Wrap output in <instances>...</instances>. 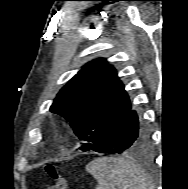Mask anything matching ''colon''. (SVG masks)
<instances>
[{
  "instance_id": "1",
  "label": "colon",
  "mask_w": 188,
  "mask_h": 189,
  "mask_svg": "<svg viewBox=\"0 0 188 189\" xmlns=\"http://www.w3.org/2000/svg\"><path fill=\"white\" fill-rule=\"evenodd\" d=\"M45 171L49 178L54 181V184L48 189H67V178L56 165L51 163L46 164Z\"/></svg>"
}]
</instances>
